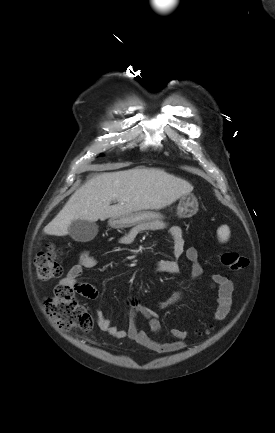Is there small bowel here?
Listing matches in <instances>:
<instances>
[{"instance_id": "1", "label": "small bowel", "mask_w": 275, "mask_h": 433, "mask_svg": "<svg viewBox=\"0 0 275 433\" xmlns=\"http://www.w3.org/2000/svg\"><path fill=\"white\" fill-rule=\"evenodd\" d=\"M139 229H132L120 239L122 244L132 243ZM169 234L173 242V259L159 261L154 269V273H166L176 275L180 272V266L178 259L186 257L190 263V277L197 279L203 274V268L198 260V252L194 247H184V236L181 227L172 226L169 229ZM98 260L95 256L88 252H83L79 256V261L68 271L67 275L61 280L60 285L71 288L73 291L87 299H97L99 296L98 289L91 283L85 282L81 279L84 269H90L96 267ZM212 285L216 288L217 299H216V310L214 313V320L224 319L230 312L232 307V294H233V283L225 275L221 273H214L211 276ZM96 321L98 327L118 338V339H130L137 342L138 344L158 353H170L183 349L186 346L185 340L187 338V332L172 329L171 336L172 341H160L151 337L146 331L141 330L137 326V318L139 315L143 316L153 334H158L161 331V324L157 318V314L151 310L147 305L141 303L138 300L131 301V308L128 312L129 325L127 329H119L111 324L108 318H106L102 312L96 311Z\"/></svg>"}]
</instances>
